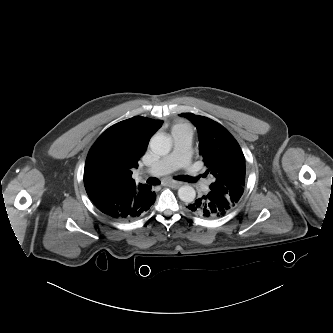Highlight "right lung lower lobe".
I'll use <instances>...</instances> for the list:
<instances>
[{
  "instance_id": "obj_1",
  "label": "right lung lower lobe",
  "mask_w": 333,
  "mask_h": 333,
  "mask_svg": "<svg viewBox=\"0 0 333 333\" xmlns=\"http://www.w3.org/2000/svg\"><path fill=\"white\" fill-rule=\"evenodd\" d=\"M155 199L156 194L150 187L143 193L135 194L134 197L105 195L91 200L105 215L119 221H128L147 212Z\"/></svg>"
}]
</instances>
